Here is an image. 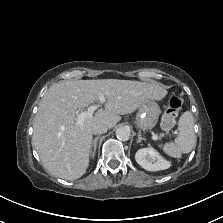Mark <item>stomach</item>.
<instances>
[{
	"instance_id": "1",
	"label": "stomach",
	"mask_w": 223,
	"mask_h": 223,
	"mask_svg": "<svg viewBox=\"0 0 223 223\" xmlns=\"http://www.w3.org/2000/svg\"><path fill=\"white\" fill-rule=\"evenodd\" d=\"M159 115V105L154 100H148L139 107L136 115L137 126L143 130H151L156 125Z\"/></svg>"
}]
</instances>
